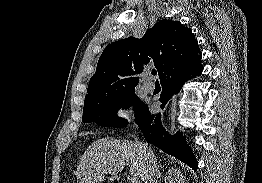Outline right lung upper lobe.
I'll return each mask as SVG.
<instances>
[{"label":"right lung upper lobe","instance_id":"obj_1","mask_svg":"<svg viewBox=\"0 0 262 183\" xmlns=\"http://www.w3.org/2000/svg\"><path fill=\"white\" fill-rule=\"evenodd\" d=\"M192 30L179 21L163 19L141 39L128 37L109 44L91 77L84 104L135 89L137 74L153 64L159 78L189 70L201 63Z\"/></svg>","mask_w":262,"mask_h":183}]
</instances>
